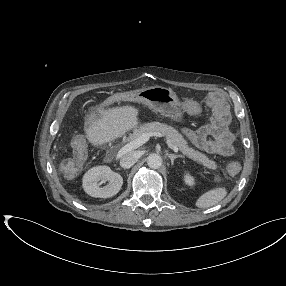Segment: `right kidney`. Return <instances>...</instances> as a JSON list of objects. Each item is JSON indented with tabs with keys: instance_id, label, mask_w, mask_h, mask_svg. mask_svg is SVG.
Here are the masks:
<instances>
[{
	"instance_id": "ca27d5eb",
	"label": "right kidney",
	"mask_w": 286,
	"mask_h": 286,
	"mask_svg": "<svg viewBox=\"0 0 286 286\" xmlns=\"http://www.w3.org/2000/svg\"><path fill=\"white\" fill-rule=\"evenodd\" d=\"M107 185L100 187L101 183ZM123 184L120 174L113 172L108 166H96L89 169L83 176V188L91 197L109 198L116 195Z\"/></svg>"
}]
</instances>
